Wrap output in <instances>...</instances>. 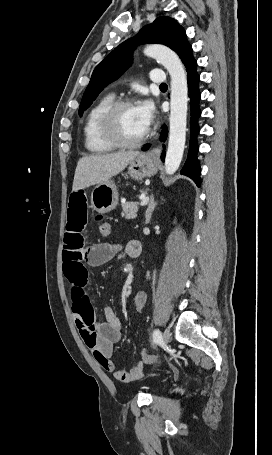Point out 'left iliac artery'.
Returning a JSON list of instances; mask_svg holds the SVG:
<instances>
[{
    "label": "left iliac artery",
    "mask_w": 272,
    "mask_h": 455,
    "mask_svg": "<svg viewBox=\"0 0 272 455\" xmlns=\"http://www.w3.org/2000/svg\"><path fill=\"white\" fill-rule=\"evenodd\" d=\"M160 340H161V332L158 329H156L153 332V341H154V343L157 344Z\"/></svg>",
    "instance_id": "44dca946"
}]
</instances>
